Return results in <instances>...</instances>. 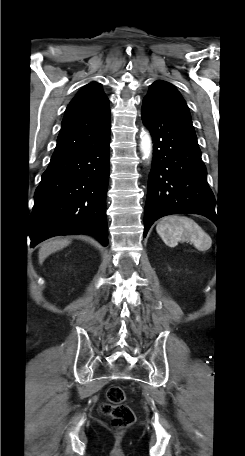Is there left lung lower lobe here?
<instances>
[{
	"label": "left lung lower lobe",
	"instance_id": "1",
	"mask_svg": "<svg viewBox=\"0 0 245 456\" xmlns=\"http://www.w3.org/2000/svg\"><path fill=\"white\" fill-rule=\"evenodd\" d=\"M142 120L154 142L144 211V237L160 217L200 214L214 220L215 198L191 118L143 99Z\"/></svg>",
	"mask_w": 245,
	"mask_h": 456
}]
</instances>
